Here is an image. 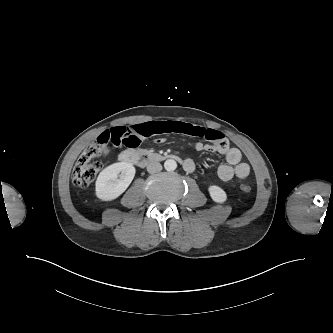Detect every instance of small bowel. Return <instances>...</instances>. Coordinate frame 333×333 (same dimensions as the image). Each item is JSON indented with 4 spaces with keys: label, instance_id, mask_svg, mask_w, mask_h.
Instances as JSON below:
<instances>
[{
    "label": "small bowel",
    "instance_id": "obj_1",
    "mask_svg": "<svg viewBox=\"0 0 333 333\" xmlns=\"http://www.w3.org/2000/svg\"><path fill=\"white\" fill-rule=\"evenodd\" d=\"M176 133L193 137H203L207 143L196 142L197 151H207L218 153L225 157L226 163L218 167L217 173L222 181H229L234 177L238 179L246 178L250 173V167L242 161V154L239 149L230 146L228 140L218 130L205 129L186 122L180 121H150L126 127H114L102 132L98 139L105 140L117 147L136 148L141 142L151 136ZM162 138L155 140L156 144H161ZM186 171L195 170V162L191 158L184 160Z\"/></svg>",
    "mask_w": 333,
    "mask_h": 333
}]
</instances>
